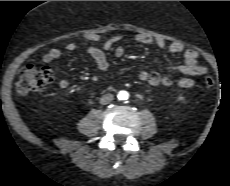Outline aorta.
Instances as JSON below:
<instances>
[{"label":"aorta","mask_w":230,"mask_h":186,"mask_svg":"<svg viewBox=\"0 0 230 186\" xmlns=\"http://www.w3.org/2000/svg\"><path fill=\"white\" fill-rule=\"evenodd\" d=\"M117 97L119 100H127L129 93L127 91H119Z\"/></svg>","instance_id":"762f6f07"}]
</instances>
